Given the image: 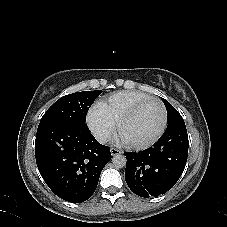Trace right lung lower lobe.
<instances>
[{
	"mask_svg": "<svg viewBox=\"0 0 227 227\" xmlns=\"http://www.w3.org/2000/svg\"><path fill=\"white\" fill-rule=\"evenodd\" d=\"M35 157L52 192L65 201L81 203L93 195L111 153L96 141L86 124L40 123Z\"/></svg>",
	"mask_w": 227,
	"mask_h": 227,
	"instance_id": "right-lung-lower-lobe-1",
	"label": "right lung lower lobe"
}]
</instances>
